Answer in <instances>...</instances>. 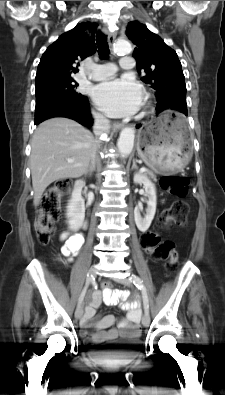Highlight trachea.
I'll return each mask as SVG.
<instances>
[{
	"label": "trachea",
	"instance_id": "3493384b",
	"mask_svg": "<svg viewBox=\"0 0 225 395\" xmlns=\"http://www.w3.org/2000/svg\"><path fill=\"white\" fill-rule=\"evenodd\" d=\"M96 44L100 58L106 59L109 54V46L107 42V37L100 31L96 34Z\"/></svg>",
	"mask_w": 225,
	"mask_h": 395
}]
</instances>
